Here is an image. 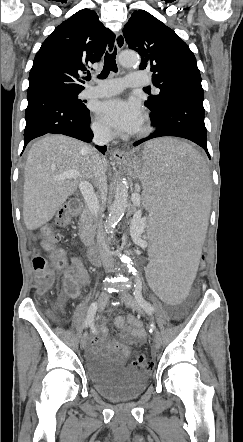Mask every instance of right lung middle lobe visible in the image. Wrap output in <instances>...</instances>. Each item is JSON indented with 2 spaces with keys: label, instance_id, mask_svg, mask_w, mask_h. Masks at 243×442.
Masks as SVG:
<instances>
[{
  "label": "right lung middle lobe",
  "instance_id": "1",
  "mask_svg": "<svg viewBox=\"0 0 243 442\" xmlns=\"http://www.w3.org/2000/svg\"><path fill=\"white\" fill-rule=\"evenodd\" d=\"M64 92L68 93L75 100V102L79 105V107L82 110H86V106L84 105V102L81 101L80 99H78V94L81 91H64Z\"/></svg>",
  "mask_w": 243,
  "mask_h": 442
}]
</instances>
